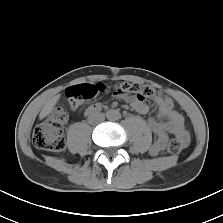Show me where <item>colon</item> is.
Segmentation results:
<instances>
[{"instance_id":"5ec220e1","label":"colon","mask_w":223,"mask_h":223,"mask_svg":"<svg viewBox=\"0 0 223 223\" xmlns=\"http://www.w3.org/2000/svg\"><path fill=\"white\" fill-rule=\"evenodd\" d=\"M106 87L101 83H85L70 86L66 96L73 109H77L82 103L94 99L98 94L104 92ZM115 96L134 95L140 100L158 96L168 109L176 108V100L162 90L158 93L156 89L148 85L133 82H120L112 89ZM68 114L65 108H55L43 121L39 122L32 133V142L38 149L51 152H60L65 148L66 140L62 126L67 122ZM182 150V143L178 138H172L168 143V151L172 154H179Z\"/></svg>"}]
</instances>
